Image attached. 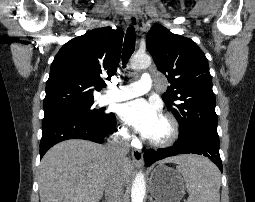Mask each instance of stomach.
Returning <instances> with one entry per match:
<instances>
[{
  "label": "stomach",
  "mask_w": 255,
  "mask_h": 202,
  "mask_svg": "<svg viewBox=\"0 0 255 202\" xmlns=\"http://www.w3.org/2000/svg\"><path fill=\"white\" fill-rule=\"evenodd\" d=\"M149 190L158 202H180L185 182L179 171L160 163L151 173Z\"/></svg>",
  "instance_id": "1"
}]
</instances>
